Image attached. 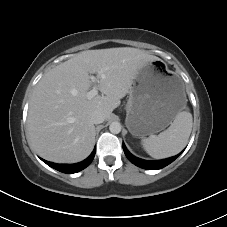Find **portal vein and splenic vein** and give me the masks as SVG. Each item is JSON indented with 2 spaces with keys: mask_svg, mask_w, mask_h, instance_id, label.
<instances>
[{
  "mask_svg": "<svg viewBox=\"0 0 227 227\" xmlns=\"http://www.w3.org/2000/svg\"><path fill=\"white\" fill-rule=\"evenodd\" d=\"M99 74H101V72H100ZM101 75H102V74H101ZM102 76H103V75H102ZM90 79H91V81H92L93 83H95V86L93 87L92 90H90V91L87 93V98H88V99H91V98L95 97V96L98 94V88H97L96 83L99 82V75H98L97 77L91 76Z\"/></svg>",
  "mask_w": 227,
  "mask_h": 227,
  "instance_id": "portal-vein-and-splenic-vein-1",
  "label": "portal vein and splenic vein"
}]
</instances>
